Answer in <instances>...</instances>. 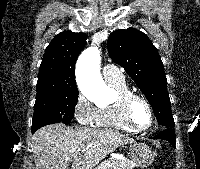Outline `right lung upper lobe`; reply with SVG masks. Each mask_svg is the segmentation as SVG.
I'll return each instance as SVG.
<instances>
[{
  "label": "right lung upper lobe",
  "instance_id": "1",
  "mask_svg": "<svg viewBox=\"0 0 200 169\" xmlns=\"http://www.w3.org/2000/svg\"><path fill=\"white\" fill-rule=\"evenodd\" d=\"M86 35L63 31L47 46L37 81V93L78 90L75 63L85 46Z\"/></svg>",
  "mask_w": 200,
  "mask_h": 169
}]
</instances>
